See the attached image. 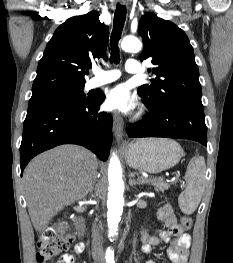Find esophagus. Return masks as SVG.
I'll return each instance as SVG.
<instances>
[{
  "label": "esophagus",
  "instance_id": "1",
  "mask_svg": "<svg viewBox=\"0 0 233 263\" xmlns=\"http://www.w3.org/2000/svg\"><path fill=\"white\" fill-rule=\"evenodd\" d=\"M121 3L126 4L127 0H121ZM113 126H114V133H115L116 138L118 140H122L124 121L118 112L113 113Z\"/></svg>",
  "mask_w": 233,
  "mask_h": 263
}]
</instances>
